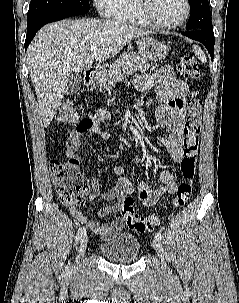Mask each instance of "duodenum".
Returning <instances> with one entry per match:
<instances>
[{"label":"duodenum","instance_id":"1","mask_svg":"<svg viewBox=\"0 0 239 303\" xmlns=\"http://www.w3.org/2000/svg\"><path fill=\"white\" fill-rule=\"evenodd\" d=\"M98 79L97 72L95 70H87L85 72V83L88 86L95 85L96 81Z\"/></svg>","mask_w":239,"mask_h":303}]
</instances>
